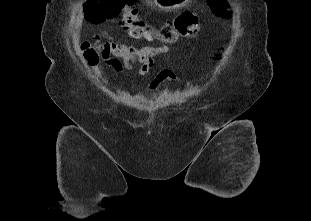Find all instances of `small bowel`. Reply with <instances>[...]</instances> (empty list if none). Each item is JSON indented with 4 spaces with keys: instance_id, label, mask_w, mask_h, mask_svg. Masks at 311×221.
Here are the masks:
<instances>
[{
    "instance_id": "obj_1",
    "label": "small bowel",
    "mask_w": 311,
    "mask_h": 221,
    "mask_svg": "<svg viewBox=\"0 0 311 221\" xmlns=\"http://www.w3.org/2000/svg\"><path fill=\"white\" fill-rule=\"evenodd\" d=\"M105 37L107 39L105 50H107L108 46L128 47L127 53H110L109 57H103L107 66L118 73H125L128 76H131L132 69L138 66L139 75L143 78L149 77L154 66L155 58L160 55L168 54L169 52V47L167 45L160 47H135L115 39L108 33H105ZM174 79V73L169 69H164L151 81L150 88L155 90L164 82L173 81Z\"/></svg>"
}]
</instances>
